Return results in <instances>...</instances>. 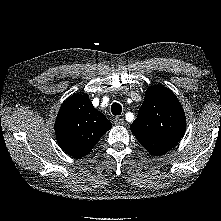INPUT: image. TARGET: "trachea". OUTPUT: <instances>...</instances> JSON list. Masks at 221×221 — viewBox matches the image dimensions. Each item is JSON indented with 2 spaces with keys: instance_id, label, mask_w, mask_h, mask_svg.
<instances>
[{
  "instance_id": "trachea-1",
  "label": "trachea",
  "mask_w": 221,
  "mask_h": 221,
  "mask_svg": "<svg viewBox=\"0 0 221 221\" xmlns=\"http://www.w3.org/2000/svg\"><path fill=\"white\" fill-rule=\"evenodd\" d=\"M111 112L113 115H120L122 112V106L119 103L114 102L111 105Z\"/></svg>"
}]
</instances>
